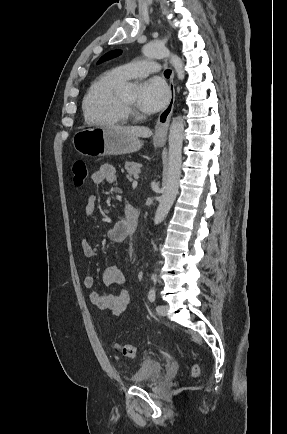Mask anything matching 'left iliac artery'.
<instances>
[{
    "mask_svg": "<svg viewBox=\"0 0 287 434\" xmlns=\"http://www.w3.org/2000/svg\"><path fill=\"white\" fill-rule=\"evenodd\" d=\"M151 279L153 280L154 285H156V283H157V276H156V274H152L151 275ZM148 299H149L150 302H154L155 301V299H156V289H155V287H153L149 291Z\"/></svg>",
    "mask_w": 287,
    "mask_h": 434,
    "instance_id": "1",
    "label": "left iliac artery"
}]
</instances>
